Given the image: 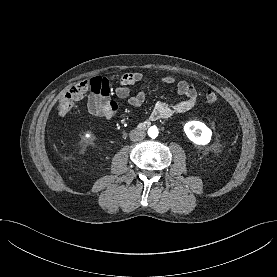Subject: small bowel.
Wrapping results in <instances>:
<instances>
[{
  "instance_id": "1",
  "label": "small bowel",
  "mask_w": 277,
  "mask_h": 277,
  "mask_svg": "<svg viewBox=\"0 0 277 277\" xmlns=\"http://www.w3.org/2000/svg\"><path fill=\"white\" fill-rule=\"evenodd\" d=\"M143 75L140 72H128L120 76L119 85L115 87V94L126 99L134 107L141 106L151 89L161 85L175 86L177 93L184 96L181 101L169 105L164 102H157L150 114L152 120H162L171 118L176 113H184L191 110L197 100V89L195 85L187 80H177L174 76H163L153 80L152 84L132 95L130 87L142 81ZM89 85V94L87 96V110L90 115L111 120L118 109L115 100L111 98V82L105 77L93 78Z\"/></svg>"
}]
</instances>
